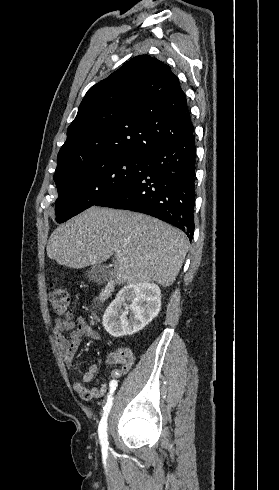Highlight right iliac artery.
<instances>
[{
	"label": "right iliac artery",
	"instance_id": "82829eb1",
	"mask_svg": "<svg viewBox=\"0 0 279 490\" xmlns=\"http://www.w3.org/2000/svg\"><path fill=\"white\" fill-rule=\"evenodd\" d=\"M118 384H119V381L116 380L115 378L109 383L110 392H109V395L107 397V403L103 407L104 413H103V417H102L100 424H99V427H98V434H99V439H100V443H101L103 452L104 451L107 452V448L109 445L108 436H107V418H108V414H109L111 406H112V401H113L112 395H113L114 391L117 389Z\"/></svg>",
	"mask_w": 279,
	"mask_h": 490
}]
</instances>
